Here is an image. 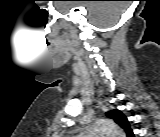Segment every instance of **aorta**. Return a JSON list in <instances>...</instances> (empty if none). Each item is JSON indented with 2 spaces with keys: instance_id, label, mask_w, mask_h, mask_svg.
Here are the masks:
<instances>
[{
  "instance_id": "obj_1",
  "label": "aorta",
  "mask_w": 160,
  "mask_h": 137,
  "mask_svg": "<svg viewBox=\"0 0 160 137\" xmlns=\"http://www.w3.org/2000/svg\"><path fill=\"white\" fill-rule=\"evenodd\" d=\"M94 132L98 134H105L109 137H124V132L113 122L101 121L94 128Z\"/></svg>"
}]
</instances>
